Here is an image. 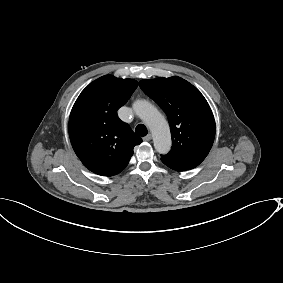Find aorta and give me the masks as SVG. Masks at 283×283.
<instances>
[{
    "mask_svg": "<svg viewBox=\"0 0 283 283\" xmlns=\"http://www.w3.org/2000/svg\"><path fill=\"white\" fill-rule=\"evenodd\" d=\"M133 109L136 115L149 127L156 151L160 154L168 153L171 148V134L166 119L146 100L135 101Z\"/></svg>",
    "mask_w": 283,
    "mask_h": 283,
    "instance_id": "obj_1",
    "label": "aorta"
}]
</instances>
